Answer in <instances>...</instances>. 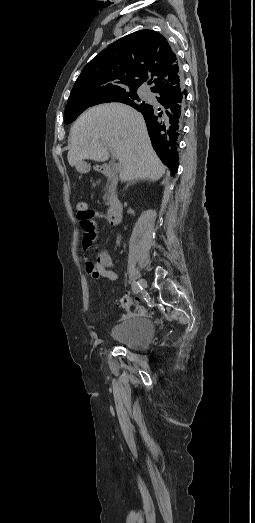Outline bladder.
<instances>
[{"instance_id": "31cf9c89", "label": "bladder", "mask_w": 255, "mask_h": 523, "mask_svg": "<svg viewBox=\"0 0 255 523\" xmlns=\"http://www.w3.org/2000/svg\"><path fill=\"white\" fill-rule=\"evenodd\" d=\"M153 338V323L146 318H129L114 327L111 340L133 350L147 346Z\"/></svg>"}]
</instances>
